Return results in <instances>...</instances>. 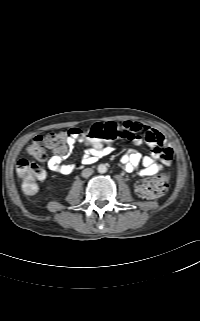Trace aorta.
<instances>
[{
  "label": "aorta",
  "instance_id": "obj_1",
  "mask_svg": "<svg viewBox=\"0 0 200 321\" xmlns=\"http://www.w3.org/2000/svg\"><path fill=\"white\" fill-rule=\"evenodd\" d=\"M97 170H98L99 173L103 174V173H106V172H107V167H106V165H104V164H100V165L98 166Z\"/></svg>",
  "mask_w": 200,
  "mask_h": 321
}]
</instances>
